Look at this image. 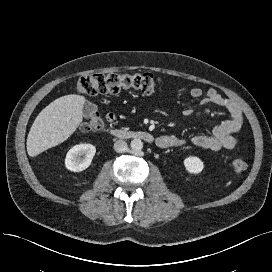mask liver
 <instances>
[{
  "mask_svg": "<svg viewBox=\"0 0 272 272\" xmlns=\"http://www.w3.org/2000/svg\"><path fill=\"white\" fill-rule=\"evenodd\" d=\"M84 96H62L46 106L36 117L27 137L31 157L67 140L82 122Z\"/></svg>",
  "mask_w": 272,
  "mask_h": 272,
  "instance_id": "1",
  "label": "liver"
}]
</instances>
